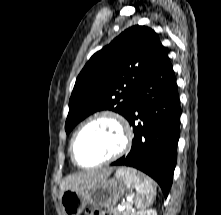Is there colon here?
I'll return each instance as SVG.
<instances>
[{
	"label": "colon",
	"mask_w": 221,
	"mask_h": 215,
	"mask_svg": "<svg viewBox=\"0 0 221 215\" xmlns=\"http://www.w3.org/2000/svg\"><path fill=\"white\" fill-rule=\"evenodd\" d=\"M86 215H110V214L98 209H90L87 211Z\"/></svg>",
	"instance_id": "obj_1"
}]
</instances>
